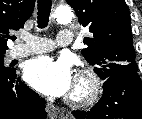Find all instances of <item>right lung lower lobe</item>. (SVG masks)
Returning <instances> with one entry per match:
<instances>
[{"label":"right lung lower lobe","instance_id":"1","mask_svg":"<svg viewBox=\"0 0 142 119\" xmlns=\"http://www.w3.org/2000/svg\"><path fill=\"white\" fill-rule=\"evenodd\" d=\"M45 100L16 78L13 69L0 74V119H45Z\"/></svg>","mask_w":142,"mask_h":119}]
</instances>
